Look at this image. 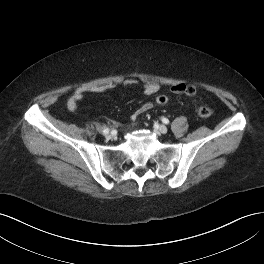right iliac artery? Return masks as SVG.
<instances>
[{
	"label": "right iliac artery",
	"instance_id": "right-iliac-artery-1",
	"mask_svg": "<svg viewBox=\"0 0 264 264\" xmlns=\"http://www.w3.org/2000/svg\"><path fill=\"white\" fill-rule=\"evenodd\" d=\"M102 132H103L104 134H107V133L109 132V129H108V128H104V129L102 130Z\"/></svg>",
	"mask_w": 264,
	"mask_h": 264
}]
</instances>
